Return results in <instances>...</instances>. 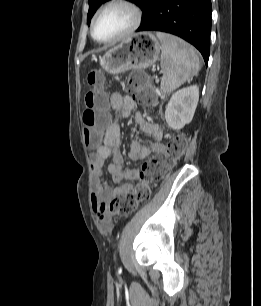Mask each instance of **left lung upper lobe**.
Instances as JSON below:
<instances>
[{
    "instance_id": "left-lung-upper-lobe-1",
    "label": "left lung upper lobe",
    "mask_w": 261,
    "mask_h": 306,
    "mask_svg": "<svg viewBox=\"0 0 261 306\" xmlns=\"http://www.w3.org/2000/svg\"><path fill=\"white\" fill-rule=\"evenodd\" d=\"M106 1L108 0H89V11L87 15L88 25L90 24L91 18L96 12L97 8ZM128 1L135 3L143 10L148 0H128Z\"/></svg>"
}]
</instances>
